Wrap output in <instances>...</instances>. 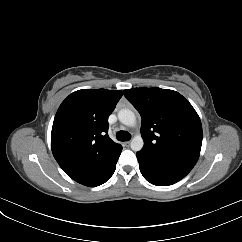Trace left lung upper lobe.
Here are the masks:
<instances>
[{
  "label": "left lung upper lobe",
  "mask_w": 242,
  "mask_h": 242,
  "mask_svg": "<svg viewBox=\"0 0 242 242\" xmlns=\"http://www.w3.org/2000/svg\"><path fill=\"white\" fill-rule=\"evenodd\" d=\"M124 95L142 117V151L193 168L200 155L202 125L188 100L161 88H132Z\"/></svg>",
  "instance_id": "left-lung-upper-lobe-1"
}]
</instances>
